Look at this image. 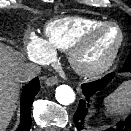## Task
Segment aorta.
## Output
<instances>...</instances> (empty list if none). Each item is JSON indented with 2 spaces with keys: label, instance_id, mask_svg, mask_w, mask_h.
Segmentation results:
<instances>
[{
  "label": "aorta",
  "instance_id": "obj_1",
  "mask_svg": "<svg viewBox=\"0 0 131 131\" xmlns=\"http://www.w3.org/2000/svg\"><path fill=\"white\" fill-rule=\"evenodd\" d=\"M56 100L62 105H70L75 101V93L68 85H60L56 88Z\"/></svg>",
  "mask_w": 131,
  "mask_h": 131
}]
</instances>
